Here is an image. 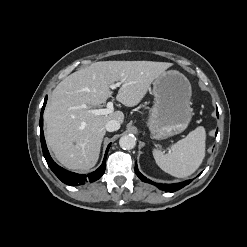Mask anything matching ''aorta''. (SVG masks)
Segmentation results:
<instances>
[{"instance_id": "obj_1", "label": "aorta", "mask_w": 247, "mask_h": 247, "mask_svg": "<svg viewBox=\"0 0 247 247\" xmlns=\"http://www.w3.org/2000/svg\"><path fill=\"white\" fill-rule=\"evenodd\" d=\"M119 145L124 150H131L136 145V138L132 134L124 135L120 138Z\"/></svg>"}]
</instances>
